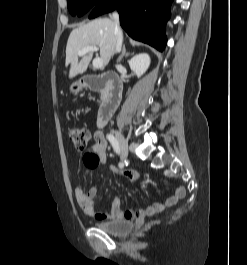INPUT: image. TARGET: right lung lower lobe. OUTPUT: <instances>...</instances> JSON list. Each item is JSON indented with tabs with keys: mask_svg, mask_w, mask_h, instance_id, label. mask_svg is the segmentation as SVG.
Instances as JSON below:
<instances>
[{
	"mask_svg": "<svg viewBox=\"0 0 247 265\" xmlns=\"http://www.w3.org/2000/svg\"><path fill=\"white\" fill-rule=\"evenodd\" d=\"M171 2L172 0H107L97 5L89 18L117 9L121 26L133 39L163 51L166 45L165 24L170 17Z\"/></svg>",
	"mask_w": 247,
	"mask_h": 265,
	"instance_id": "98d812e1",
	"label": "right lung lower lobe"
}]
</instances>
